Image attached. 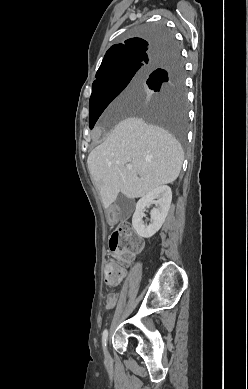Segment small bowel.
I'll return each instance as SVG.
<instances>
[{
  "instance_id": "c3829d8e",
  "label": "small bowel",
  "mask_w": 248,
  "mask_h": 389,
  "mask_svg": "<svg viewBox=\"0 0 248 389\" xmlns=\"http://www.w3.org/2000/svg\"><path fill=\"white\" fill-rule=\"evenodd\" d=\"M118 302V294L112 292L107 295L106 308L112 309Z\"/></svg>"
}]
</instances>
